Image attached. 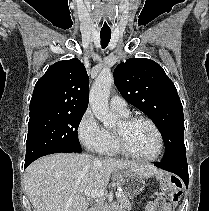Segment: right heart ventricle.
<instances>
[{
  "label": "right heart ventricle",
  "instance_id": "e07e8e85",
  "mask_svg": "<svg viewBox=\"0 0 209 211\" xmlns=\"http://www.w3.org/2000/svg\"><path fill=\"white\" fill-rule=\"evenodd\" d=\"M120 115L123 117L129 116V114L127 115L120 114ZM98 152H100L102 155L110 157H117L122 154L117 145L115 130L106 129V140Z\"/></svg>",
  "mask_w": 209,
  "mask_h": 211
}]
</instances>
